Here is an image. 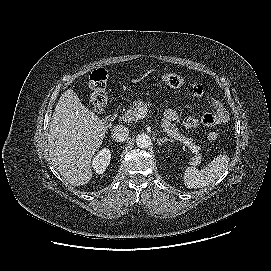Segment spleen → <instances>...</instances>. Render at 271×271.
<instances>
[{"mask_svg": "<svg viewBox=\"0 0 271 271\" xmlns=\"http://www.w3.org/2000/svg\"><path fill=\"white\" fill-rule=\"evenodd\" d=\"M229 161L230 159L227 155L220 154L201 170H198L192 161L190 163L191 166L185 169L183 176L184 185L189 189H199L213 183L228 168Z\"/></svg>", "mask_w": 271, "mask_h": 271, "instance_id": "1", "label": "spleen"}]
</instances>
